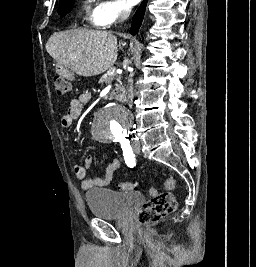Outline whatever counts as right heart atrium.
<instances>
[{
    "label": "right heart atrium",
    "instance_id": "right-heart-atrium-1",
    "mask_svg": "<svg viewBox=\"0 0 256 267\" xmlns=\"http://www.w3.org/2000/svg\"><path fill=\"white\" fill-rule=\"evenodd\" d=\"M124 17V14L121 10H118L113 15H110L108 17H103L99 14L98 11H95L93 15V22L95 25L101 28H108L113 23L120 21Z\"/></svg>",
    "mask_w": 256,
    "mask_h": 267
}]
</instances>
